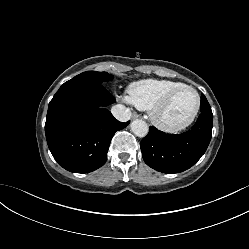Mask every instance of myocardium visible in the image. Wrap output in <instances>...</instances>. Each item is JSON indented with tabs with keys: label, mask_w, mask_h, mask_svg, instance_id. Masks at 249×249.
Instances as JSON below:
<instances>
[{
	"label": "myocardium",
	"mask_w": 249,
	"mask_h": 249,
	"mask_svg": "<svg viewBox=\"0 0 249 249\" xmlns=\"http://www.w3.org/2000/svg\"><path fill=\"white\" fill-rule=\"evenodd\" d=\"M181 90H190L195 94L196 96L195 107L191 112V114L184 121L177 124L166 123L160 118V114L169 105L172 98ZM200 106H201V97L198 91L190 85L183 84L171 89L152 106V108L150 109V119L158 128H160L163 131L172 132V133L178 132L187 128L195 120L200 110Z\"/></svg>",
	"instance_id": "obj_1"
}]
</instances>
